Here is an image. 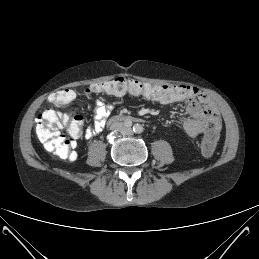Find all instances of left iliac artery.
I'll return each instance as SVG.
<instances>
[{
    "label": "left iliac artery",
    "mask_w": 259,
    "mask_h": 259,
    "mask_svg": "<svg viewBox=\"0 0 259 259\" xmlns=\"http://www.w3.org/2000/svg\"><path fill=\"white\" fill-rule=\"evenodd\" d=\"M133 131H134L135 133L140 134V133H142V132L144 131V128H143V126L140 125V124H135V125L133 126Z\"/></svg>",
    "instance_id": "left-iliac-artery-1"
}]
</instances>
